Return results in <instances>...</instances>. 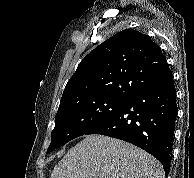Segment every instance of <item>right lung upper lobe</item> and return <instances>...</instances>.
Returning a JSON list of instances; mask_svg holds the SVG:
<instances>
[{
  "label": "right lung upper lobe",
  "instance_id": "obj_1",
  "mask_svg": "<svg viewBox=\"0 0 194 178\" xmlns=\"http://www.w3.org/2000/svg\"><path fill=\"white\" fill-rule=\"evenodd\" d=\"M173 77L160 47L133 29L118 32L79 64L64 89L60 107L91 97L129 99Z\"/></svg>",
  "mask_w": 194,
  "mask_h": 178
}]
</instances>
